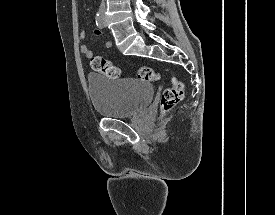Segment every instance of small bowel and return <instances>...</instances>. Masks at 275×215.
<instances>
[{
	"label": "small bowel",
	"mask_w": 275,
	"mask_h": 215,
	"mask_svg": "<svg viewBox=\"0 0 275 215\" xmlns=\"http://www.w3.org/2000/svg\"><path fill=\"white\" fill-rule=\"evenodd\" d=\"M95 34H96V36H99V35H100V33H99L98 30L95 31ZM78 37H79V39H84V38L86 37V31H85V30H81V31L79 32ZM104 46H105V48H111L112 42H111V41H106V42L104 43ZM79 51H80V53H81L82 55H84L87 59H92V58L94 57L93 52L91 51V49H90L87 45H81V46L79 47Z\"/></svg>",
	"instance_id": "obj_1"
}]
</instances>
